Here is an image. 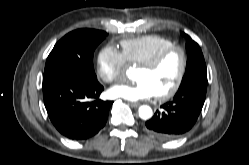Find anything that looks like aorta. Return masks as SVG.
<instances>
[{
	"label": "aorta",
	"mask_w": 249,
	"mask_h": 165,
	"mask_svg": "<svg viewBox=\"0 0 249 165\" xmlns=\"http://www.w3.org/2000/svg\"><path fill=\"white\" fill-rule=\"evenodd\" d=\"M153 115L152 109L147 106V105H143L139 108V117L147 120L149 118H151Z\"/></svg>",
	"instance_id": "aorta-1"
}]
</instances>
